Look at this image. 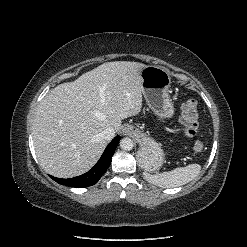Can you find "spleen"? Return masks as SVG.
Here are the masks:
<instances>
[{
    "instance_id": "obj_1",
    "label": "spleen",
    "mask_w": 247,
    "mask_h": 247,
    "mask_svg": "<svg viewBox=\"0 0 247 247\" xmlns=\"http://www.w3.org/2000/svg\"><path fill=\"white\" fill-rule=\"evenodd\" d=\"M201 171L199 164H189L186 167H178L168 172L150 175L147 180L159 187L173 188L185 185L195 179Z\"/></svg>"
}]
</instances>
